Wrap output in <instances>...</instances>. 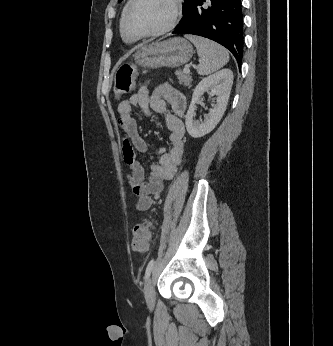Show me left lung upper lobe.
Masks as SVG:
<instances>
[{"mask_svg": "<svg viewBox=\"0 0 333 346\" xmlns=\"http://www.w3.org/2000/svg\"><path fill=\"white\" fill-rule=\"evenodd\" d=\"M121 1H122V0H118V2H121ZM190 1H191V0H184L185 6H184V8H183V13H184V10H185L186 6L189 4Z\"/></svg>", "mask_w": 333, "mask_h": 346, "instance_id": "1", "label": "left lung upper lobe"}]
</instances>
